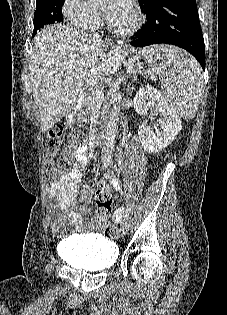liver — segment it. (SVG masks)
<instances>
[{
  "label": "liver",
  "instance_id": "1",
  "mask_svg": "<svg viewBox=\"0 0 227 315\" xmlns=\"http://www.w3.org/2000/svg\"><path fill=\"white\" fill-rule=\"evenodd\" d=\"M30 60L33 97L46 132L74 108L89 79L116 71L122 56L97 35L54 24L37 32Z\"/></svg>",
  "mask_w": 227,
  "mask_h": 315
}]
</instances>
